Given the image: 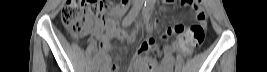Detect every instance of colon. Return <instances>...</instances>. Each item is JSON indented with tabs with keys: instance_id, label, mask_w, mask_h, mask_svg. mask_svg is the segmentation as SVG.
I'll return each instance as SVG.
<instances>
[{
	"instance_id": "1",
	"label": "colon",
	"mask_w": 267,
	"mask_h": 72,
	"mask_svg": "<svg viewBox=\"0 0 267 72\" xmlns=\"http://www.w3.org/2000/svg\"><path fill=\"white\" fill-rule=\"evenodd\" d=\"M128 2V0L122 1V3ZM183 3L193 6L197 21L189 29H185L179 24L174 29L183 37L181 44L183 52L190 54L194 48L204 41L207 27V13L206 16L197 17V14L202 10L201 0H186ZM106 10L107 6L104 0H68L62 8L61 18L71 34L74 37H79L88 28L91 19H104ZM105 27L107 30H113L115 26L112 20L105 19Z\"/></svg>"
}]
</instances>
